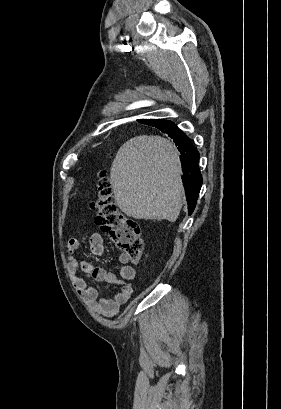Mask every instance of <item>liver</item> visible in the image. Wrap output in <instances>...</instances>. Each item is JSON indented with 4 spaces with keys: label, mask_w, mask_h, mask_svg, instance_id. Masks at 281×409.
I'll return each instance as SVG.
<instances>
[{
    "label": "liver",
    "mask_w": 281,
    "mask_h": 409,
    "mask_svg": "<svg viewBox=\"0 0 281 409\" xmlns=\"http://www.w3.org/2000/svg\"><path fill=\"white\" fill-rule=\"evenodd\" d=\"M110 174L115 200L127 217L178 219L184 196L181 162L167 138H130L120 146Z\"/></svg>",
    "instance_id": "obj_1"
}]
</instances>
